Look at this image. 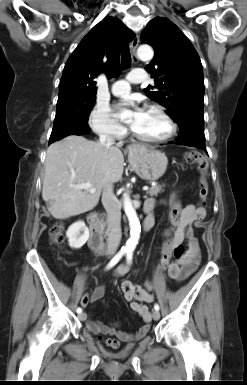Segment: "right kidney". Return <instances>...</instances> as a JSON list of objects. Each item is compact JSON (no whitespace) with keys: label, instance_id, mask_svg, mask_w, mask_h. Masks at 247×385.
<instances>
[{"label":"right kidney","instance_id":"obj_1","mask_svg":"<svg viewBox=\"0 0 247 385\" xmlns=\"http://www.w3.org/2000/svg\"><path fill=\"white\" fill-rule=\"evenodd\" d=\"M66 236L72 249H80L89 238V230L83 221H77L68 228Z\"/></svg>","mask_w":247,"mask_h":385}]
</instances>
